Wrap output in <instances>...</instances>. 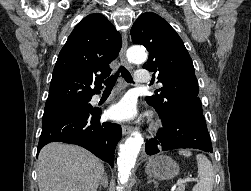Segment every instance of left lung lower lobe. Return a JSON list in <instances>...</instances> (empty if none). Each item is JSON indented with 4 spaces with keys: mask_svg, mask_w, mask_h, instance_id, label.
Returning <instances> with one entry per match:
<instances>
[{
    "mask_svg": "<svg viewBox=\"0 0 251 191\" xmlns=\"http://www.w3.org/2000/svg\"><path fill=\"white\" fill-rule=\"evenodd\" d=\"M162 124L163 127L157 133L156 138L146 141L145 151L148 155L178 148L213 152L202 111L198 109L179 111L168 121H162Z\"/></svg>",
    "mask_w": 251,
    "mask_h": 191,
    "instance_id": "0a47b994",
    "label": "left lung lower lobe"
}]
</instances>
